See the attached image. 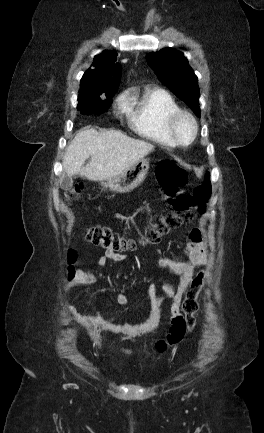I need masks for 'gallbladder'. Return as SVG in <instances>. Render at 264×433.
<instances>
[{
  "mask_svg": "<svg viewBox=\"0 0 264 433\" xmlns=\"http://www.w3.org/2000/svg\"><path fill=\"white\" fill-rule=\"evenodd\" d=\"M73 185V180L71 177L67 176L66 174H64L61 178H60V187L64 190H68L72 187Z\"/></svg>",
  "mask_w": 264,
  "mask_h": 433,
  "instance_id": "bac80fb5",
  "label": "gallbladder"
}]
</instances>
